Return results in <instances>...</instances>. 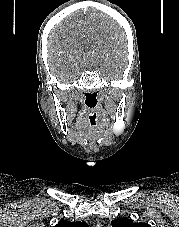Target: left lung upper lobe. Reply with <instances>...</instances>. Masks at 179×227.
Returning <instances> with one entry per match:
<instances>
[{
	"mask_svg": "<svg viewBox=\"0 0 179 227\" xmlns=\"http://www.w3.org/2000/svg\"><path fill=\"white\" fill-rule=\"evenodd\" d=\"M111 224L113 227H151L148 223H134L128 218L112 220Z\"/></svg>",
	"mask_w": 179,
	"mask_h": 227,
	"instance_id": "1",
	"label": "left lung upper lobe"
}]
</instances>
